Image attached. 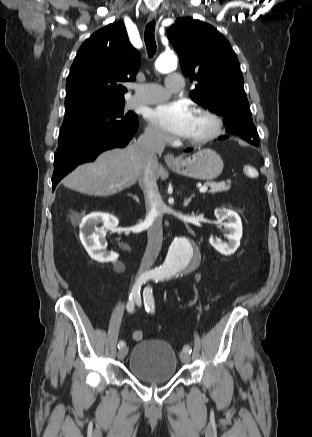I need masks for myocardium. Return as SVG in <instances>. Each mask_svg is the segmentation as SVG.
Listing matches in <instances>:
<instances>
[{"instance_id": "f54148a6", "label": "myocardium", "mask_w": 312, "mask_h": 437, "mask_svg": "<svg viewBox=\"0 0 312 437\" xmlns=\"http://www.w3.org/2000/svg\"><path fill=\"white\" fill-rule=\"evenodd\" d=\"M194 113L208 120L210 128L203 135L192 139H185L183 143L188 145H202L214 140L220 135L223 129V120L217 113L202 107L196 108Z\"/></svg>"}]
</instances>
